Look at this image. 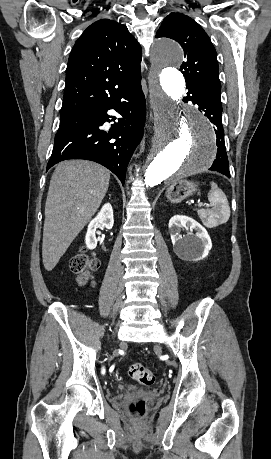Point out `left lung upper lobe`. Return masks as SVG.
Wrapping results in <instances>:
<instances>
[{
  "label": "left lung upper lobe",
  "instance_id": "left-lung-upper-lobe-1",
  "mask_svg": "<svg viewBox=\"0 0 271 459\" xmlns=\"http://www.w3.org/2000/svg\"><path fill=\"white\" fill-rule=\"evenodd\" d=\"M156 37L174 39L182 46L185 61L180 71L185 76L188 89L209 87L220 93L216 50L199 24L182 13H170L163 20Z\"/></svg>",
  "mask_w": 271,
  "mask_h": 459
}]
</instances>
